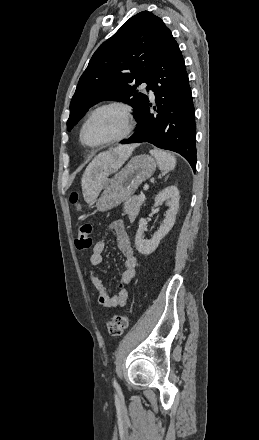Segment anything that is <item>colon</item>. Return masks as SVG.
I'll use <instances>...</instances> for the list:
<instances>
[{"label": "colon", "instance_id": "colon-1", "mask_svg": "<svg viewBox=\"0 0 259 440\" xmlns=\"http://www.w3.org/2000/svg\"><path fill=\"white\" fill-rule=\"evenodd\" d=\"M70 201L77 206L79 211H82V206L79 203L78 194L73 192L70 196ZM93 228L89 222H81L78 226V235L76 238V247L79 250H87L93 244L92 236ZM129 325L128 316H114L108 323L107 328L111 336L118 337L123 334Z\"/></svg>", "mask_w": 259, "mask_h": 440}]
</instances>
